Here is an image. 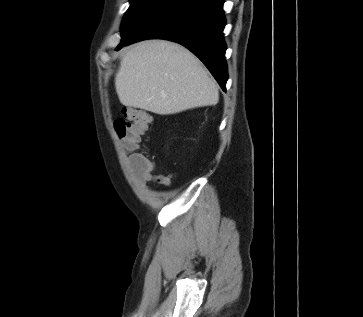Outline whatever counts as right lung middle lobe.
<instances>
[{"label":"right lung middle lobe","instance_id":"1","mask_svg":"<svg viewBox=\"0 0 363 317\" xmlns=\"http://www.w3.org/2000/svg\"><path fill=\"white\" fill-rule=\"evenodd\" d=\"M181 0H130V7L122 21L121 42L133 38L151 19Z\"/></svg>","mask_w":363,"mask_h":317}]
</instances>
